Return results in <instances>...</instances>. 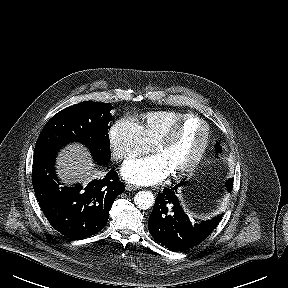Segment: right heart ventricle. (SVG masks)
Instances as JSON below:
<instances>
[{"label":"right heart ventricle","mask_w":288,"mask_h":288,"mask_svg":"<svg viewBox=\"0 0 288 288\" xmlns=\"http://www.w3.org/2000/svg\"><path fill=\"white\" fill-rule=\"evenodd\" d=\"M188 115L177 110L151 111L141 115L137 124L148 145H153L167 129Z\"/></svg>","instance_id":"e07e8e85"}]
</instances>
